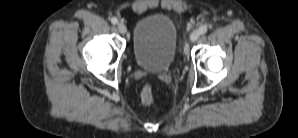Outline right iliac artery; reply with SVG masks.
Here are the masks:
<instances>
[{
    "label": "right iliac artery",
    "instance_id": "82829eb1",
    "mask_svg": "<svg viewBox=\"0 0 298 138\" xmlns=\"http://www.w3.org/2000/svg\"><path fill=\"white\" fill-rule=\"evenodd\" d=\"M111 23L112 24H117L118 23V19L115 18V17L111 18Z\"/></svg>",
    "mask_w": 298,
    "mask_h": 138
}]
</instances>
